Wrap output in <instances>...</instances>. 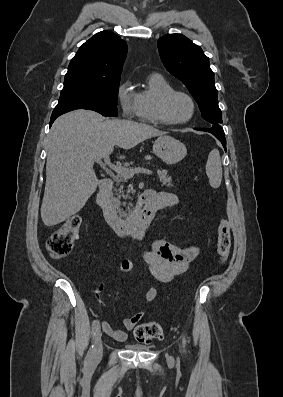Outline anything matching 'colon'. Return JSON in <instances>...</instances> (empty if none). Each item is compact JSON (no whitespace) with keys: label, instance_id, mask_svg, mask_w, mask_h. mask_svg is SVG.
I'll use <instances>...</instances> for the list:
<instances>
[{"label":"colon","instance_id":"5ec220e1","mask_svg":"<svg viewBox=\"0 0 283 397\" xmlns=\"http://www.w3.org/2000/svg\"><path fill=\"white\" fill-rule=\"evenodd\" d=\"M82 219L79 215L70 216L47 241V250L51 257L59 259L67 256L73 249L81 231ZM231 249V225L227 219H222L218 226L217 252L220 264H225ZM139 343L161 340L163 330L156 322L138 325L133 332Z\"/></svg>","mask_w":283,"mask_h":397}]
</instances>
